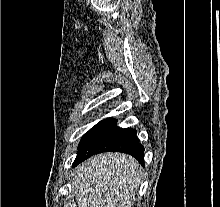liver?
Wrapping results in <instances>:
<instances>
[{"instance_id": "obj_1", "label": "liver", "mask_w": 220, "mask_h": 207, "mask_svg": "<svg viewBox=\"0 0 220 207\" xmlns=\"http://www.w3.org/2000/svg\"><path fill=\"white\" fill-rule=\"evenodd\" d=\"M72 176L79 207H132L143 173L133 157L108 152L83 162Z\"/></svg>"}]
</instances>
